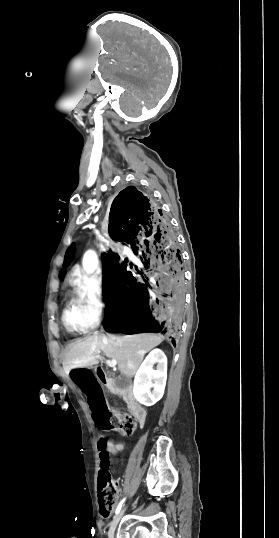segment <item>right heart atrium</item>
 I'll use <instances>...</instances> for the list:
<instances>
[{
  "instance_id": "obj_1",
  "label": "right heart atrium",
  "mask_w": 279,
  "mask_h": 538,
  "mask_svg": "<svg viewBox=\"0 0 279 538\" xmlns=\"http://www.w3.org/2000/svg\"><path fill=\"white\" fill-rule=\"evenodd\" d=\"M107 226V223H105ZM84 304V318L88 329L97 327L105 311V290L100 280L93 276L80 292Z\"/></svg>"
}]
</instances>
